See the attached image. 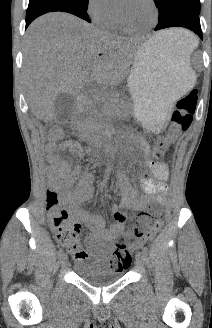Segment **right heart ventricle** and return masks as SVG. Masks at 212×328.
I'll return each instance as SVG.
<instances>
[{"label": "right heart ventricle", "mask_w": 212, "mask_h": 328, "mask_svg": "<svg viewBox=\"0 0 212 328\" xmlns=\"http://www.w3.org/2000/svg\"><path fill=\"white\" fill-rule=\"evenodd\" d=\"M100 25L111 32H122V31H126L119 23L117 16L115 15V13H113L112 15H110L108 18H106L105 20H103Z\"/></svg>", "instance_id": "e07e8e85"}]
</instances>
